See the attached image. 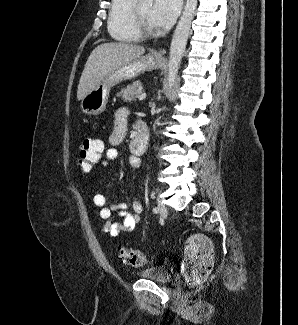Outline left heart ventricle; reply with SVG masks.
Masks as SVG:
<instances>
[{
    "label": "left heart ventricle",
    "instance_id": "1",
    "mask_svg": "<svg viewBox=\"0 0 298 325\" xmlns=\"http://www.w3.org/2000/svg\"><path fill=\"white\" fill-rule=\"evenodd\" d=\"M152 3L150 1H142L140 4V16L143 20L145 26L153 31H160V29L155 25L151 17Z\"/></svg>",
    "mask_w": 298,
    "mask_h": 325
}]
</instances>
